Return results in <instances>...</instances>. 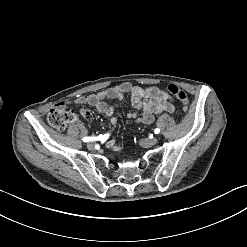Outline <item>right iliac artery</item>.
<instances>
[{
  "mask_svg": "<svg viewBox=\"0 0 247 247\" xmlns=\"http://www.w3.org/2000/svg\"><path fill=\"white\" fill-rule=\"evenodd\" d=\"M108 136H109V134H105V135L101 134L98 137H84L82 140H83V142H89V141H93V140L105 141Z\"/></svg>",
  "mask_w": 247,
  "mask_h": 247,
  "instance_id": "right-iliac-artery-1",
  "label": "right iliac artery"
}]
</instances>
